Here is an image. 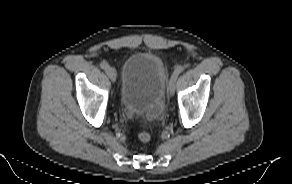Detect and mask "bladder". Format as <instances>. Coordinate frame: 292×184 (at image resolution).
<instances>
[{
  "label": "bladder",
  "mask_w": 292,
  "mask_h": 184,
  "mask_svg": "<svg viewBox=\"0 0 292 184\" xmlns=\"http://www.w3.org/2000/svg\"><path fill=\"white\" fill-rule=\"evenodd\" d=\"M167 68L154 53H136L125 61L119 88L123 109L132 115L158 119L163 110Z\"/></svg>",
  "instance_id": "1"
}]
</instances>
